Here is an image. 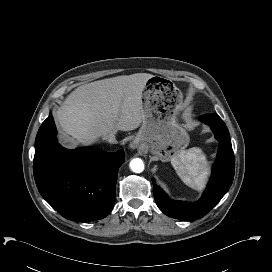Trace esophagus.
Here are the masks:
<instances>
[{
  "instance_id": "esophagus-1",
  "label": "esophagus",
  "mask_w": 272,
  "mask_h": 272,
  "mask_svg": "<svg viewBox=\"0 0 272 272\" xmlns=\"http://www.w3.org/2000/svg\"><path fill=\"white\" fill-rule=\"evenodd\" d=\"M139 147V140L138 139H134L131 143H130V148L135 150Z\"/></svg>"
}]
</instances>
